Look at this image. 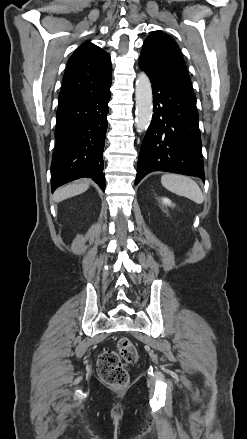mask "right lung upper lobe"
I'll use <instances>...</instances> for the list:
<instances>
[{"instance_id": "cb5924a9", "label": "right lung upper lobe", "mask_w": 247, "mask_h": 439, "mask_svg": "<svg viewBox=\"0 0 247 439\" xmlns=\"http://www.w3.org/2000/svg\"><path fill=\"white\" fill-rule=\"evenodd\" d=\"M111 74L110 56L90 42L82 44L68 60L59 103L106 88Z\"/></svg>"}]
</instances>
